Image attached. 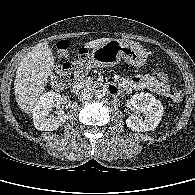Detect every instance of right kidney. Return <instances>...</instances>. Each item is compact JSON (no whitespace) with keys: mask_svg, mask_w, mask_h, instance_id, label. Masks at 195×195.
<instances>
[{"mask_svg":"<svg viewBox=\"0 0 195 195\" xmlns=\"http://www.w3.org/2000/svg\"><path fill=\"white\" fill-rule=\"evenodd\" d=\"M63 103V98L56 92L43 93L37 101L34 109L33 123L40 131H53L59 128L66 120V114L59 109ZM52 107L58 108L56 115H49Z\"/></svg>","mask_w":195,"mask_h":195,"instance_id":"obj_1","label":"right kidney"}]
</instances>
